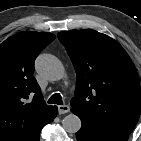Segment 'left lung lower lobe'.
<instances>
[{
    "mask_svg": "<svg viewBox=\"0 0 141 141\" xmlns=\"http://www.w3.org/2000/svg\"><path fill=\"white\" fill-rule=\"evenodd\" d=\"M71 111L79 116L82 121V127L76 133L78 141H127L129 135L106 130L82 117L77 111L73 109Z\"/></svg>",
    "mask_w": 141,
    "mask_h": 141,
    "instance_id": "0a47b994",
    "label": "left lung lower lobe"
}]
</instances>
